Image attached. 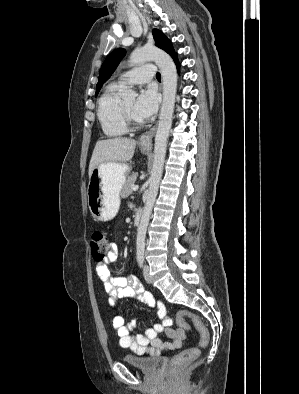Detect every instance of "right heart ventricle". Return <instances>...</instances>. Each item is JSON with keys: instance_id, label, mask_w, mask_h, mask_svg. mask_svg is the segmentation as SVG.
Wrapping results in <instances>:
<instances>
[{"instance_id": "1", "label": "right heart ventricle", "mask_w": 299, "mask_h": 394, "mask_svg": "<svg viewBox=\"0 0 299 394\" xmlns=\"http://www.w3.org/2000/svg\"><path fill=\"white\" fill-rule=\"evenodd\" d=\"M123 86L118 82L110 83L100 96L97 117L103 133L111 138L121 137L128 132L121 114L120 92Z\"/></svg>"}]
</instances>
